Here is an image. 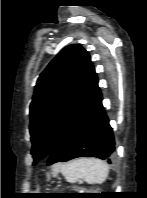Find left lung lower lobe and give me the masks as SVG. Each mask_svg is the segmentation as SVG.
Listing matches in <instances>:
<instances>
[{
    "mask_svg": "<svg viewBox=\"0 0 147 198\" xmlns=\"http://www.w3.org/2000/svg\"><path fill=\"white\" fill-rule=\"evenodd\" d=\"M114 150L113 132L102 106L97 81L79 112L53 146L47 164L78 157H97L110 163Z\"/></svg>",
    "mask_w": 147,
    "mask_h": 198,
    "instance_id": "1",
    "label": "left lung lower lobe"
}]
</instances>
